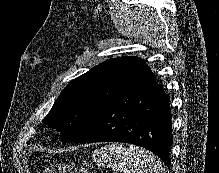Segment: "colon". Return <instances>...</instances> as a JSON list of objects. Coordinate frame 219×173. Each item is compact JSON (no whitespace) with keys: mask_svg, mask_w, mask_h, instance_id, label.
I'll list each match as a JSON object with an SVG mask.
<instances>
[{"mask_svg":"<svg viewBox=\"0 0 219 173\" xmlns=\"http://www.w3.org/2000/svg\"><path fill=\"white\" fill-rule=\"evenodd\" d=\"M43 173H90L85 167H75L60 161H50Z\"/></svg>","mask_w":219,"mask_h":173,"instance_id":"colon-1","label":"colon"}]
</instances>
